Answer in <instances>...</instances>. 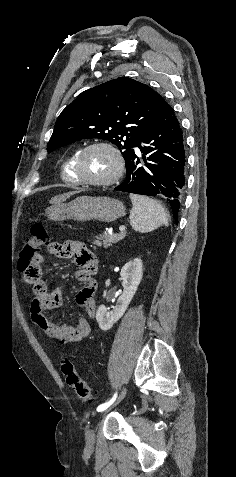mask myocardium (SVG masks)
Wrapping results in <instances>:
<instances>
[{"label":"myocardium","mask_w":236,"mask_h":477,"mask_svg":"<svg viewBox=\"0 0 236 477\" xmlns=\"http://www.w3.org/2000/svg\"><path fill=\"white\" fill-rule=\"evenodd\" d=\"M94 148L105 149L106 151H108L112 155V157L115 161V170H114L113 174L106 179L90 180V179L84 178L81 174V162H82L84 156L86 155V153L88 151H90L91 149H94ZM73 170H74L75 176H76L79 184H85V185H90V186H95V187H107V186H110V185L114 184L115 182H117L120 179V177L122 176V174L124 172V159H123L120 151L115 146H113L112 144L107 143V142L97 141V142H93V143L88 144L82 150H80V152L78 153V155H77V157L74 161Z\"/></svg>","instance_id":"obj_1"}]
</instances>
